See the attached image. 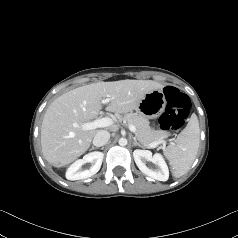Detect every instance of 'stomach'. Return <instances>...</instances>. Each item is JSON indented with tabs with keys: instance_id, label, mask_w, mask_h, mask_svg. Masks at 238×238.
Returning <instances> with one entry per match:
<instances>
[{
	"instance_id": "stomach-1",
	"label": "stomach",
	"mask_w": 238,
	"mask_h": 238,
	"mask_svg": "<svg viewBox=\"0 0 238 238\" xmlns=\"http://www.w3.org/2000/svg\"><path fill=\"white\" fill-rule=\"evenodd\" d=\"M166 105L167 102L162 89H156L145 95L137 108V112L147 119H153L164 112Z\"/></svg>"
}]
</instances>
